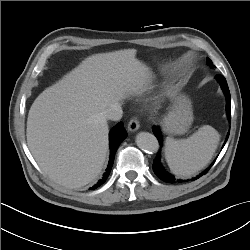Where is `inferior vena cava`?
Returning <instances> with one entry per match:
<instances>
[{
    "label": "inferior vena cava",
    "instance_id": "1",
    "mask_svg": "<svg viewBox=\"0 0 250 250\" xmlns=\"http://www.w3.org/2000/svg\"><path fill=\"white\" fill-rule=\"evenodd\" d=\"M123 111L120 104H112L109 108L104 111V116L108 120L118 121L122 118Z\"/></svg>",
    "mask_w": 250,
    "mask_h": 250
}]
</instances>
